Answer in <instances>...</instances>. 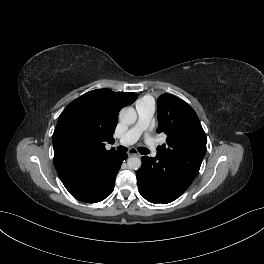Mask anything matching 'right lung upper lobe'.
Instances as JSON below:
<instances>
[{"mask_svg":"<svg viewBox=\"0 0 264 264\" xmlns=\"http://www.w3.org/2000/svg\"><path fill=\"white\" fill-rule=\"evenodd\" d=\"M136 93L97 89L72 101L60 114L53 133L54 164L66 189L77 199L93 196L101 172L118 152L105 149L114 141L118 113Z\"/></svg>","mask_w":264,"mask_h":264,"instance_id":"cb5924a9","label":"right lung upper lobe"}]
</instances>
